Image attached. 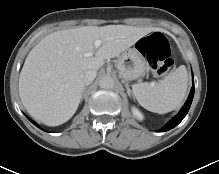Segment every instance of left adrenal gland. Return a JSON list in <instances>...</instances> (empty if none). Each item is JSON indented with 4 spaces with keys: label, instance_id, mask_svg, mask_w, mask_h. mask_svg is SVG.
I'll return each mask as SVG.
<instances>
[{
    "label": "left adrenal gland",
    "instance_id": "1",
    "mask_svg": "<svg viewBox=\"0 0 219 174\" xmlns=\"http://www.w3.org/2000/svg\"><path fill=\"white\" fill-rule=\"evenodd\" d=\"M126 88H127L128 95L131 96V93H132V92H131V89L129 88L128 85L126 86Z\"/></svg>",
    "mask_w": 219,
    "mask_h": 174
}]
</instances>
